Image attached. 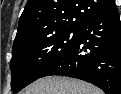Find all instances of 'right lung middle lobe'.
Returning a JSON list of instances; mask_svg holds the SVG:
<instances>
[{
	"mask_svg": "<svg viewBox=\"0 0 121 94\" xmlns=\"http://www.w3.org/2000/svg\"><path fill=\"white\" fill-rule=\"evenodd\" d=\"M78 29L54 33L34 32L13 45L11 59V88L18 92L34 82L76 44Z\"/></svg>",
	"mask_w": 121,
	"mask_h": 94,
	"instance_id": "1",
	"label": "right lung middle lobe"
}]
</instances>
